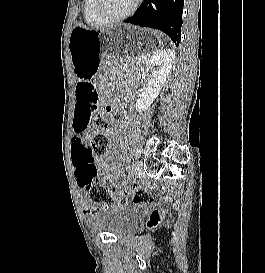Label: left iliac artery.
<instances>
[{"label":"left iliac artery","mask_w":265,"mask_h":273,"mask_svg":"<svg viewBox=\"0 0 265 273\" xmlns=\"http://www.w3.org/2000/svg\"><path fill=\"white\" fill-rule=\"evenodd\" d=\"M140 153H141V149L138 148V149H137V152H136V157H139V156H140Z\"/></svg>","instance_id":"left-iliac-artery-1"}]
</instances>
